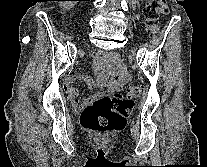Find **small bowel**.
Wrapping results in <instances>:
<instances>
[{
  "instance_id": "1",
  "label": "small bowel",
  "mask_w": 207,
  "mask_h": 167,
  "mask_svg": "<svg viewBox=\"0 0 207 167\" xmlns=\"http://www.w3.org/2000/svg\"><path fill=\"white\" fill-rule=\"evenodd\" d=\"M117 75L121 79L127 78L128 74L126 69L122 65L116 66ZM79 79L84 81L91 89H104L107 87V81L105 77H102L99 81H95L92 77L89 76H77V77H69L65 84V91L67 92L68 98L72 104V106L76 109H85L89 105H91L98 95H93L86 98L81 104L78 103L77 96L78 90L72 86L74 80Z\"/></svg>"
}]
</instances>
